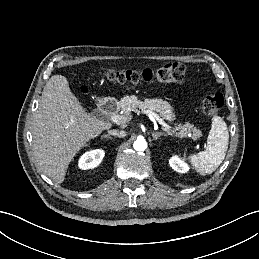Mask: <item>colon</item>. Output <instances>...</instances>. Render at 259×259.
Here are the masks:
<instances>
[{"label":"colon","mask_w":259,"mask_h":259,"mask_svg":"<svg viewBox=\"0 0 259 259\" xmlns=\"http://www.w3.org/2000/svg\"><path fill=\"white\" fill-rule=\"evenodd\" d=\"M185 76V67L178 62L168 63L158 69L146 68L143 70H116L109 71L106 77L109 81L119 84H135L138 82L158 81L168 84H176L183 81ZM224 104L222 94L215 93L206 96L202 103V110L209 116L216 115Z\"/></svg>","instance_id":"colon-1"}]
</instances>
